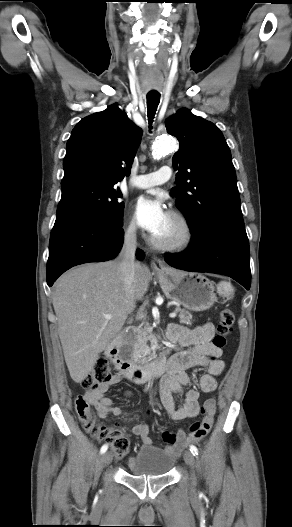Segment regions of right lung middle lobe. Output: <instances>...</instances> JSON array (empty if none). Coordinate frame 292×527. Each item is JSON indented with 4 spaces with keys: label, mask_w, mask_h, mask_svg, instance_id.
<instances>
[{
    "label": "right lung middle lobe",
    "mask_w": 292,
    "mask_h": 527,
    "mask_svg": "<svg viewBox=\"0 0 292 527\" xmlns=\"http://www.w3.org/2000/svg\"><path fill=\"white\" fill-rule=\"evenodd\" d=\"M62 196L57 213L80 211L92 214L105 222L121 225L124 203L114 184H104L85 178H76L61 184Z\"/></svg>",
    "instance_id": "obj_1"
}]
</instances>
